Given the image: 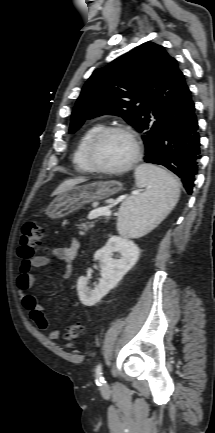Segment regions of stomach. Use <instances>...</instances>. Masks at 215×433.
Instances as JSON below:
<instances>
[{
  "label": "stomach",
  "instance_id": "obj_1",
  "mask_svg": "<svg viewBox=\"0 0 215 433\" xmlns=\"http://www.w3.org/2000/svg\"><path fill=\"white\" fill-rule=\"evenodd\" d=\"M122 185L117 181H97L73 187L62 193L46 210L50 218H63L85 204L109 198L119 192Z\"/></svg>",
  "mask_w": 215,
  "mask_h": 433
}]
</instances>
